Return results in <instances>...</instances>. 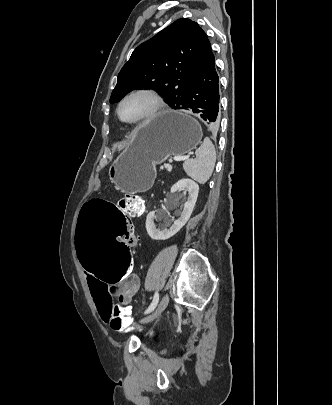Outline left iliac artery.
Listing matches in <instances>:
<instances>
[{
  "mask_svg": "<svg viewBox=\"0 0 332 405\" xmlns=\"http://www.w3.org/2000/svg\"><path fill=\"white\" fill-rule=\"evenodd\" d=\"M158 301H159V293H158V291H156L155 294H154V296H153V300H152L151 304H150L149 307L145 310L144 313H145V314H148V313L152 312V311L156 308V306H157V304H158Z\"/></svg>",
  "mask_w": 332,
  "mask_h": 405,
  "instance_id": "1",
  "label": "left iliac artery"
}]
</instances>
